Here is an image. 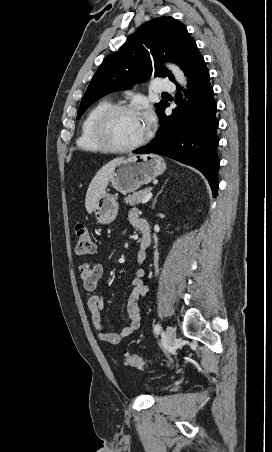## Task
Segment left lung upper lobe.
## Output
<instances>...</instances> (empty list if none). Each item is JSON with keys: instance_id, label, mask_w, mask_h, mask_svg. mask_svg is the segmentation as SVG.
I'll list each match as a JSON object with an SVG mask.
<instances>
[{"instance_id": "left-lung-upper-lobe-1", "label": "left lung upper lobe", "mask_w": 272, "mask_h": 452, "mask_svg": "<svg viewBox=\"0 0 272 452\" xmlns=\"http://www.w3.org/2000/svg\"><path fill=\"white\" fill-rule=\"evenodd\" d=\"M195 41L184 24L173 17H158L143 24L114 54L108 55L93 76L79 106L77 119L106 94L129 88L136 82L155 77L174 78L162 67L166 61L181 68ZM156 104L158 115L165 105Z\"/></svg>"}]
</instances>
